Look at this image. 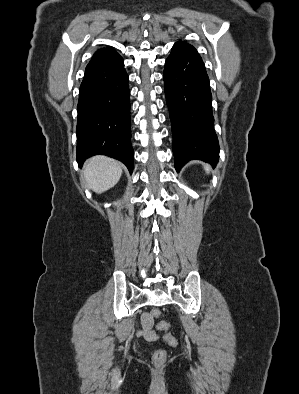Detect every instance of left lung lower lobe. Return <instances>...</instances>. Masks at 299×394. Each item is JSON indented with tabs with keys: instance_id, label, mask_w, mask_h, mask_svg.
Segmentation results:
<instances>
[{
	"instance_id": "1",
	"label": "left lung lower lobe",
	"mask_w": 299,
	"mask_h": 394,
	"mask_svg": "<svg viewBox=\"0 0 299 394\" xmlns=\"http://www.w3.org/2000/svg\"><path fill=\"white\" fill-rule=\"evenodd\" d=\"M177 171L190 160L215 166L219 144L205 65L193 46L174 45L163 73Z\"/></svg>"
}]
</instances>
